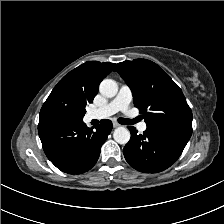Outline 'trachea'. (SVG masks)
<instances>
[{"label": "trachea", "instance_id": "3493384b", "mask_svg": "<svg viewBox=\"0 0 224 224\" xmlns=\"http://www.w3.org/2000/svg\"><path fill=\"white\" fill-rule=\"evenodd\" d=\"M138 121V119L137 118H135V119H126V118H119L118 119V122L120 123V124H122V125H132V124H134L135 122H137Z\"/></svg>", "mask_w": 224, "mask_h": 224}]
</instances>
